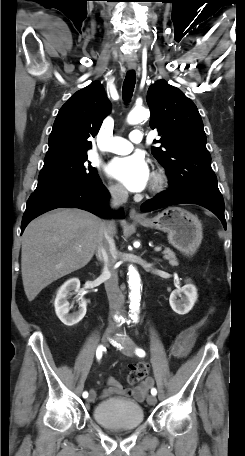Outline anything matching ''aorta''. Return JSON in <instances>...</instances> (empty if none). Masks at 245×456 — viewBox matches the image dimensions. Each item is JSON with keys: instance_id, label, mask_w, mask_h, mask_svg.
<instances>
[{"instance_id": "aorta-1", "label": "aorta", "mask_w": 245, "mask_h": 456, "mask_svg": "<svg viewBox=\"0 0 245 456\" xmlns=\"http://www.w3.org/2000/svg\"><path fill=\"white\" fill-rule=\"evenodd\" d=\"M150 115L149 110L144 108V107H139L133 109L128 117H127V122L129 124H137L143 121L144 119L148 118ZM128 283L130 287V293H129V299H130V312L135 313L139 311L140 308V300H141V295H140V276L138 271L135 269V267L130 266L128 270Z\"/></svg>"}]
</instances>
